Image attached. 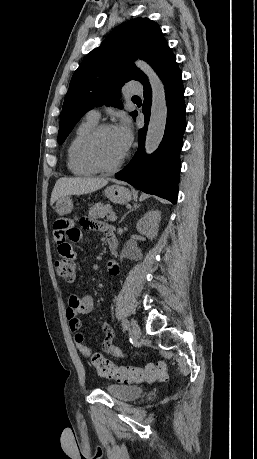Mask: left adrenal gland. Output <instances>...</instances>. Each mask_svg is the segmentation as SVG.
Wrapping results in <instances>:
<instances>
[{"mask_svg": "<svg viewBox=\"0 0 257 459\" xmlns=\"http://www.w3.org/2000/svg\"><path fill=\"white\" fill-rule=\"evenodd\" d=\"M139 206H140V205L137 204V203H135L133 206H129V207H128V208H129V211L126 212V213L122 216V218H121L120 221H119V224L124 220V218H125L130 212L136 210L137 208H139Z\"/></svg>", "mask_w": 257, "mask_h": 459, "instance_id": "1", "label": "left adrenal gland"}]
</instances>
